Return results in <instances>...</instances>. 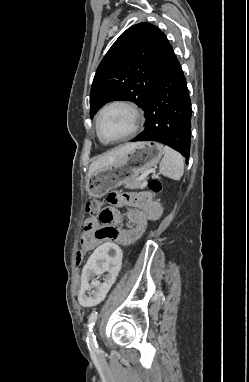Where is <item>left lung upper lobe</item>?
<instances>
[{
	"label": "left lung upper lobe",
	"mask_w": 249,
	"mask_h": 382,
	"mask_svg": "<svg viewBox=\"0 0 249 382\" xmlns=\"http://www.w3.org/2000/svg\"><path fill=\"white\" fill-rule=\"evenodd\" d=\"M175 54L156 26L139 23L123 32L99 64L90 92V116L107 102L129 100L144 111Z\"/></svg>",
	"instance_id": "obj_1"
}]
</instances>
